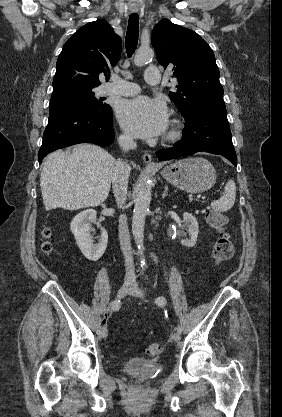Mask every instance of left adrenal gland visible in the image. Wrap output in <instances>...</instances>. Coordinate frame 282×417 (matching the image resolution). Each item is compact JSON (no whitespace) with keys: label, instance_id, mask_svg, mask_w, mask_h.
<instances>
[{"label":"left adrenal gland","instance_id":"left-adrenal-gland-1","mask_svg":"<svg viewBox=\"0 0 282 417\" xmlns=\"http://www.w3.org/2000/svg\"><path fill=\"white\" fill-rule=\"evenodd\" d=\"M167 190H168V186H167V184H165V186H164V192L162 194V198H164V196H167Z\"/></svg>","mask_w":282,"mask_h":417}]
</instances>
